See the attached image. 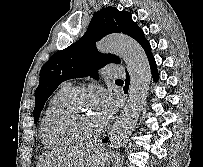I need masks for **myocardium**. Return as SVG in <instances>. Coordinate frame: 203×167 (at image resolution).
Masks as SVG:
<instances>
[{
    "mask_svg": "<svg viewBox=\"0 0 203 167\" xmlns=\"http://www.w3.org/2000/svg\"><path fill=\"white\" fill-rule=\"evenodd\" d=\"M88 95L86 91L76 90L53 112L48 121V129L52 135L67 143H87L97 139L102 134L103 127L89 136H75L62 127V121L69 114L77 100Z\"/></svg>",
    "mask_w": 203,
    "mask_h": 167,
    "instance_id": "myocardium-1",
    "label": "myocardium"
}]
</instances>
